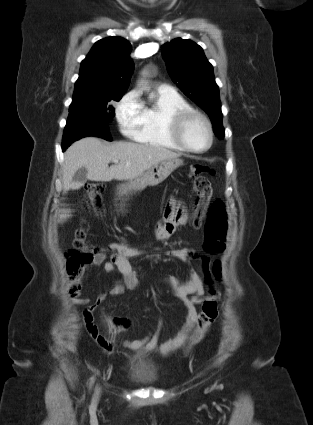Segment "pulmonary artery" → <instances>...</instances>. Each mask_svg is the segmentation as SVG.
Returning <instances> with one entry per match:
<instances>
[{
	"label": "pulmonary artery",
	"instance_id": "pulmonary-artery-1",
	"mask_svg": "<svg viewBox=\"0 0 313 425\" xmlns=\"http://www.w3.org/2000/svg\"><path fill=\"white\" fill-rule=\"evenodd\" d=\"M159 89L163 90V91H167V92H172L174 91L173 88L169 85L166 84H162Z\"/></svg>",
	"mask_w": 313,
	"mask_h": 425
}]
</instances>
